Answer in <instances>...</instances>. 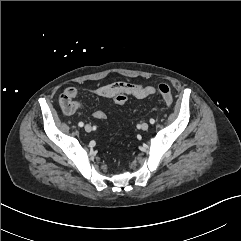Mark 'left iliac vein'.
<instances>
[{
    "label": "left iliac vein",
    "instance_id": "left-iliac-vein-1",
    "mask_svg": "<svg viewBox=\"0 0 241 241\" xmlns=\"http://www.w3.org/2000/svg\"><path fill=\"white\" fill-rule=\"evenodd\" d=\"M149 128V125L147 123H142L141 124V129L146 131Z\"/></svg>",
    "mask_w": 241,
    "mask_h": 241
}]
</instances>
